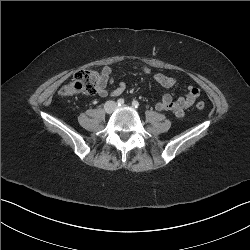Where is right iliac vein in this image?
Masks as SVG:
<instances>
[{
    "label": "right iliac vein",
    "mask_w": 250,
    "mask_h": 250,
    "mask_svg": "<svg viewBox=\"0 0 250 250\" xmlns=\"http://www.w3.org/2000/svg\"><path fill=\"white\" fill-rule=\"evenodd\" d=\"M116 107L115 102L109 101L105 104L104 109L107 113H111Z\"/></svg>",
    "instance_id": "obj_1"
}]
</instances>
